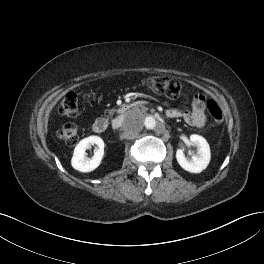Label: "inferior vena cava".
Listing matches in <instances>:
<instances>
[{"label":"inferior vena cava","instance_id":"1","mask_svg":"<svg viewBox=\"0 0 264 264\" xmlns=\"http://www.w3.org/2000/svg\"><path fill=\"white\" fill-rule=\"evenodd\" d=\"M123 123V119L120 117V118H117L113 121V124H112V127L114 129L118 128L119 126H121V124Z\"/></svg>","mask_w":264,"mask_h":264}]
</instances>
